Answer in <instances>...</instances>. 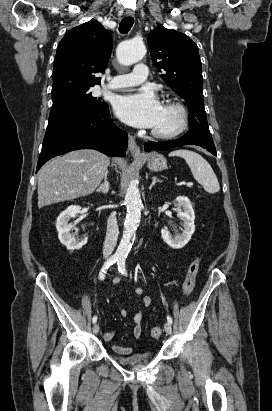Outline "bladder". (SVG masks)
<instances>
[{"mask_svg":"<svg viewBox=\"0 0 272 411\" xmlns=\"http://www.w3.org/2000/svg\"><path fill=\"white\" fill-rule=\"evenodd\" d=\"M152 358V354L147 353H133L129 355H115V360L121 365L127 367H137L147 364Z\"/></svg>","mask_w":272,"mask_h":411,"instance_id":"31cf9c89","label":"bladder"}]
</instances>
